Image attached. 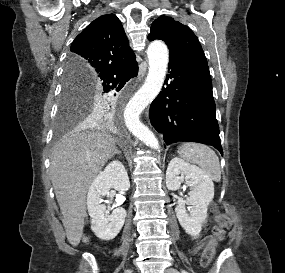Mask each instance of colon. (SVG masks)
Wrapping results in <instances>:
<instances>
[{
    "instance_id": "5ec220e1",
    "label": "colon",
    "mask_w": 285,
    "mask_h": 273,
    "mask_svg": "<svg viewBox=\"0 0 285 273\" xmlns=\"http://www.w3.org/2000/svg\"><path fill=\"white\" fill-rule=\"evenodd\" d=\"M214 221L212 234L201 256V265L203 267L209 266L213 261L217 240L223 236L225 230L231 225L230 219L220 211H215Z\"/></svg>"
}]
</instances>
